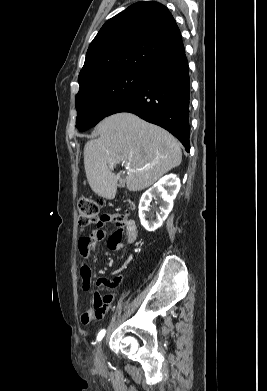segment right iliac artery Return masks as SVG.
<instances>
[{
	"instance_id": "1",
	"label": "right iliac artery",
	"mask_w": 267,
	"mask_h": 391,
	"mask_svg": "<svg viewBox=\"0 0 267 391\" xmlns=\"http://www.w3.org/2000/svg\"><path fill=\"white\" fill-rule=\"evenodd\" d=\"M105 335V330H101L98 334L97 340L100 341Z\"/></svg>"
}]
</instances>
